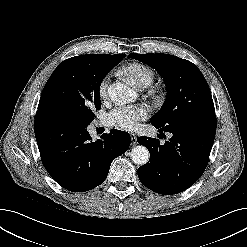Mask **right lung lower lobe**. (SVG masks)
<instances>
[{"instance_id": "right-lung-lower-lobe-1", "label": "right lung lower lobe", "mask_w": 247, "mask_h": 247, "mask_svg": "<svg viewBox=\"0 0 247 247\" xmlns=\"http://www.w3.org/2000/svg\"><path fill=\"white\" fill-rule=\"evenodd\" d=\"M83 125L49 110H38L35 137L42 163L63 188L85 192L102 184L112 161L130 146V135L112 129L92 141Z\"/></svg>"}]
</instances>
